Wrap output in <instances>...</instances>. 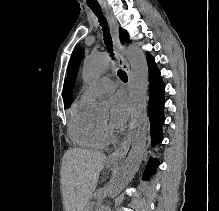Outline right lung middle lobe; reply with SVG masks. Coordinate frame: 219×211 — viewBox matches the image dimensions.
I'll use <instances>...</instances> for the list:
<instances>
[{"label": "right lung middle lobe", "mask_w": 219, "mask_h": 211, "mask_svg": "<svg viewBox=\"0 0 219 211\" xmlns=\"http://www.w3.org/2000/svg\"><path fill=\"white\" fill-rule=\"evenodd\" d=\"M64 107H65V109L68 108V106H64Z\"/></svg>", "instance_id": "1"}]
</instances>
